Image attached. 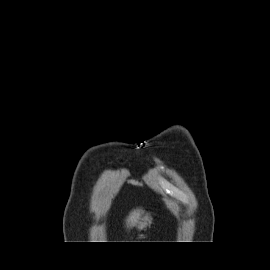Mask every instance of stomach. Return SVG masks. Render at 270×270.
<instances>
[{"label":"stomach","mask_w":270,"mask_h":270,"mask_svg":"<svg viewBox=\"0 0 270 270\" xmlns=\"http://www.w3.org/2000/svg\"><path fill=\"white\" fill-rule=\"evenodd\" d=\"M152 222V217L150 216L149 213H146L144 216L140 217L136 223V228L138 230H143L147 226H149Z\"/></svg>","instance_id":"1"}]
</instances>
